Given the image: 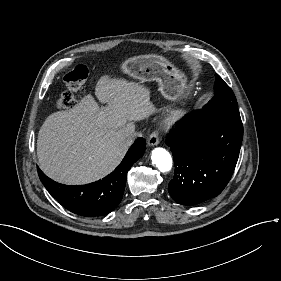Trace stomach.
<instances>
[{
	"mask_svg": "<svg viewBox=\"0 0 281 281\" xmlns=\"http://www.w3.org/2000/svg\"><path fill=\"white\" fill-rule=\"evenodd\" d=\"M119 71L139 83L156 82L160 96L166 101L178 103L188 98L189 74L164 55L150 53L128 57L119 65Z\"/></svg>",
	"mask_w": 281,
	"mask_h": 281,
	"instance_id": "stomach-1",
	"label": "stomach"
}]
</instances>
